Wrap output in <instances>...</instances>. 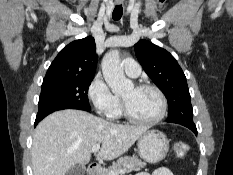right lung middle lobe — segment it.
I'll use <instances>...</instances> for the list:
<instances>
[{
  "label": "right lung middle lobe",
  "instance_id": "obj_1",
  "mask_svg": "<svg viewBox=\"0 0 233 175\" xmlns=\"http://www.w3.org/2000/svg\"><path fill=\"white\" fill-rule=\"evenodd\" d=\"M93 77L44 78L37 117L62 109L90 111L87 92Z\"/></svg>",
  "mask_w": 233,
  "mask_h": 175
}]
</instances>
